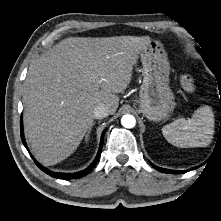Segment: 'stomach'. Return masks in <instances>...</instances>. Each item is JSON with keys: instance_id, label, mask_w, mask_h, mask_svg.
Listing matches in <instances>:
<instances>
[{"instance_id": "obj_1", "label": "stomach", "mask_w": 221, "mask_h": 221, "mask_svg": "<svg viewBox=\"0 0 221 221\" xmlns=\"http://www.w3.org/2000/svg\"><path fill=\"white\" fill-rule=\"evenodd\" d=\"M141 61L143 83L139 91V110L148 120L159 122L166 119L176 106L169 86L170 63L158 40L150 41Z\"/></svg>"}]
</instances>
